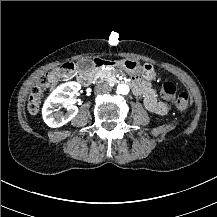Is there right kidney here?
<instances>
[{
  "label": "right kidney",
  "mask_w": 217,
  "mask_h": 217,
  "mask_svg": "<svg viewBox=\"0 0 217 217\" xmlns=\"http://www.w3.org/2000/svg\"><path fill=\"white\" fill-rule=\"evenodd\" d=\"M79 89V84L68 83L62 85L48 98L43 107V119L50 128L62 127L77 115L79 109L71 103V100ZM60 104H64L66 113L58 109Z\"/></svg>",
  "instance_id": "right-kidney-1"
}]
</instances>
